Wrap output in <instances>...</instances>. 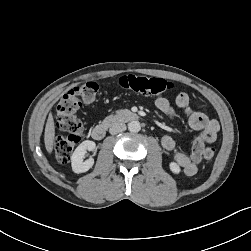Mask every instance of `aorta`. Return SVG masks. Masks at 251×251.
Listing matches in <instances>:
<instances>
[{"instance_id":"762f6f07","label":"aorta","mask_w":251,"mask_h":251,"mask_svg":"<svg viewBox=\"0 0 251 251\" xmlns=\"http://www.w3.org/2000/svg\"><path fill=\"white\" fill-rule=\"evenodd\" d=\"M128 130L133 133H137L141 130V124L139 121L133 120L128 123Z\"/></svg>"}]
</instances>
